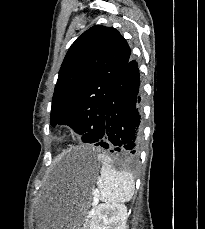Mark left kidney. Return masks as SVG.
<instances>
[{
  "label": "left kidney",
  "instance_id": "left-kidney-1",
  "mask_svg": "<svg viewBox=\"0 0 205 229\" xmlns=\"http://www.w3.org/2000/svg\"><path fill=\"white\" fill-rule=\"evenodd\" d=\"M127 207L119 203L99 204L89 229H126Z\"/></svg>",
  "mask_w": 205,
  "mask_h": 229
}]
</instances>
